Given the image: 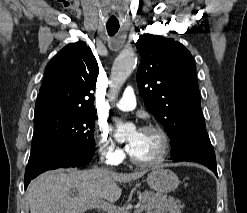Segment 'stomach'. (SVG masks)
I'll return each instance as SVG.
<instances>
[{"label":"stomach","mask_w":247,"mask_h":213,"mask_svg":"<svg viewBox=\"0 0 247 213\" xmlns=\"http://www.w3.org/2000/svg\"><path fill=\"white\" fill-rule=\"evenodd\" d=\"M147 183L159 194H167L178 187L179 179L173 171L159 167L148 174Z\"/></svg>","instance_id":"obj_1"}]
</instances>
